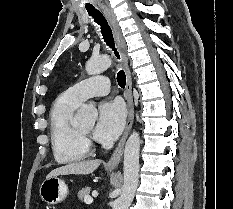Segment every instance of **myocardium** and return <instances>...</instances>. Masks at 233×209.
<instances>
[{"mask_svg":"<svg viewBox=\"0 0 233 209\" xmlns=\"http://www.w3.org/2000/svg\"><path fill=\"white\" fill-rule=\"evenodd\" d=\"M79 133H80V136H81L83 143H84L85 147L87 148V150L93 149V144L90 140L89 134H86V133L82 132L81 130H79Z\"/></svg>","mask_w":233,"mask_h":209,"instance_id":"f54148a6","label":"myocardium"}]
</instances>
